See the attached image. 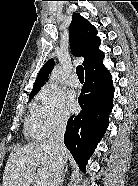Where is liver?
Wrapping results in <instances>:
<instances>
[{
  "label": "liver",
  "mask_w": 138,
  "mask_h": 186,
  "mask_svg": "<svg viewBox=\"0 0 138 186\" xmlns=\"http://www.w3.org/2000/svg\"><path fill=\"white\" fill-rule=\"evenodd\" d=\"M70 157L66 150V161ZM56 155L47 141L15 148L7 160L2 186H30L34 178L48 186ZM37 169V173H36Z\"/></svg>",
  "instance_id": "liver-1"
}]
</instances>
